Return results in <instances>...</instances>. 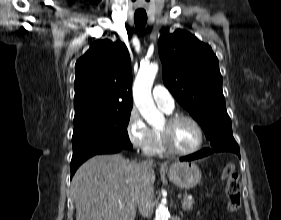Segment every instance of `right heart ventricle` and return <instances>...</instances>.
Wrapping results in <instances>:
<instances>
[{
  "mask_svg": "<svg viewBox=\"0 0 281 220\" xmlns=\"http://www.w3.org/2000/svg\"><path fill=\"white\" fill-rule=\"evenodd\" d=\"M166 113H170V112H166ZM152 136H153L152 145L150 147L148 154L160 155V154L165 153L166 151L162 146L160 136H159V131L156 129L152 130Z\"/></svg>",
  "mask_w": 281,
  "mask_h": 220,
  "instance_id": "e07e8e85",
  "label": "right heart ventricle"
}]
</instances>
